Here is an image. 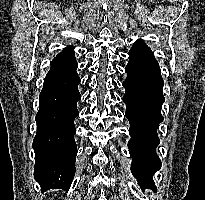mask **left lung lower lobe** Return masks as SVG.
I'll return each mask as SVG.
<instances>
[{
  "label": "left lung lower lobe",
  "mask_w": 205,
  "mask_h": 200,
  "mask_svg": "<svg viewBox=\"0 0 205 200\" xmlns=\"http://www.w3.org/2000/svg\"><path fill=\"white\" fill-rule=\"evenodd\" d=\"M128 54L123 101L130 123L128 148L132 157L131 172L140 185L155 188L152 175L161 168L155 149L160 142L157 128L163 121L164 83L158 62L142 39L134 43Z\"/></svg>",
  "instance_id": "left-lung-lower-lobe-1"
}]
</instances>
